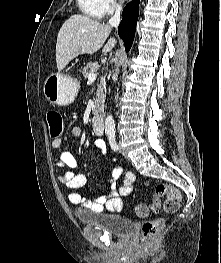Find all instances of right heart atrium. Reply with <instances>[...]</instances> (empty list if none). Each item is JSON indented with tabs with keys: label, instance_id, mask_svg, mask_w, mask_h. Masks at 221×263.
Segmentation results:
<instances>
[{
	"label": "right heart atrium",
	"instance_id": "right-heart-atrium-1",
	"mask_svg": "<svg viewBox=\"0 0 221 263\" xmlns=\"http://www.w3.org/2000/svg\"><path fill=\"white\" fill-rule=\"evenodd\" d=\"M103 13H113L120 7V0H99Z\"/></svg>",
	"mask_w": 221,
	"mask_h": 263
}]
</instances>
